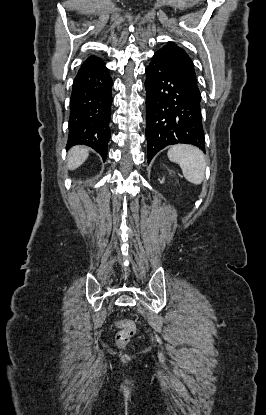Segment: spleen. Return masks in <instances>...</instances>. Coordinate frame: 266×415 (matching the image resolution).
<instances>
[{"instance_id":"3e777b00","label":"spleen","mask_w":266,"mask_h":415,"mask_svg":"<svg viewBox=\"0 0 266 415\" xmlns=\"http://www.w3.org/2000/svg\"><path fill=\"white\" fill-rule=\"evenodd\" d=\"M168 158L177 163L185 179L195 185L205 177V157L202 151L192 145H175L168 150Z\"/></svg>"}]
</instances>
